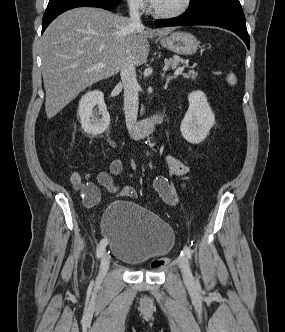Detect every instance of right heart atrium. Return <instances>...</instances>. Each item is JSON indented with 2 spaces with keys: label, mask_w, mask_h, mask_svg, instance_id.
I'll return each mask as SVG.
<instances>
[{
  "label": "right heart atrium",
  "mask_w": 285,
  "mask_h": 332,
  "mask_svg": "<svg viewBox=\"0 0 285 332\" xmlns=\"http://www.w3.org/2000/svg\"><path fill=\"white\" fill-rule=\"evenodd\" d=\"M129 7L133 10H143L146 6L145 0H127Z\"/></svg>",
  "instance_id": "d8ad5b80"
}]
</instances>
